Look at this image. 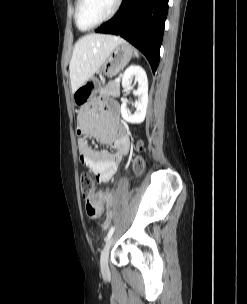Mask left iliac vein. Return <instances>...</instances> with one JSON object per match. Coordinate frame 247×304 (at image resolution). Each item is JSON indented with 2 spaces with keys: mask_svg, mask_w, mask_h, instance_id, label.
I'll return each instance as SVG.
<instances>
[{
  "mask_svg": "<svg viewBox=\"0 0 247 304\" xmlns=\"http://www.w3.org/2000/svg\"><path fill=\"white\" fill-rule=\"evenodd\" d=\"M114 238L115 235H112L109 240L107 241L106 245L104 246V249L101 253V260H100V264H101V271L103 274H107L109 272V268H108V256H109V250L110 247L112 245V243L114 242Z\"/></svg>",
  "mask_w": 247,
  "mask_h": 304,
  "instance_id": "obj_1",
  "label": "left iliac vein"
}]
</instances>
